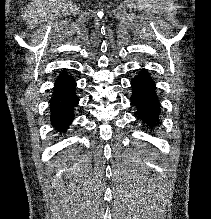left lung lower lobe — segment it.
Wrapping results in <instances>:
<instances>
[{"label": "left lung lower lobe", "mask_w": 211, "mask_h": 219, "mask_svg": "<svg viewBox=\"0 0 211 219\" xmlns=\"http://www.w3.org/2000/svg\"><path fill=\"white\" fill-rule=\"evenodd\" d=\"M134 89L132 104L138 107L137 118L147 123L150 128L158 123L160 105L155 93V84L147 72L142 70L131 82Z\"/></svg>", "instance_id": "obj_1"}]
</instances>
